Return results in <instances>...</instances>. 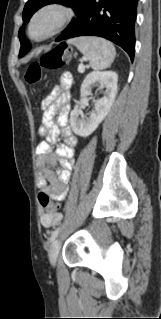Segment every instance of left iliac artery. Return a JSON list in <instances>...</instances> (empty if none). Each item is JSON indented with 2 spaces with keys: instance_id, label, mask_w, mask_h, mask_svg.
<instances>
[{
  "instance_id": "obj_1",
  "label": "left iliac artery",
  "mask_w": 161,
  "mask_h": 319,
  "mask_svg": "<svg viewBox=\"0 0 161 319\" xmlns=\"http://www.w3.org/2000/svg\"><path fill=\"white\" fill-rule=\"evenodd\" d=\"M60 229H61V227H58V228H56V229L52 232L51 237H50V241H51V242L57 237V235H58Z\"/></svg>"
}]
</instances>
